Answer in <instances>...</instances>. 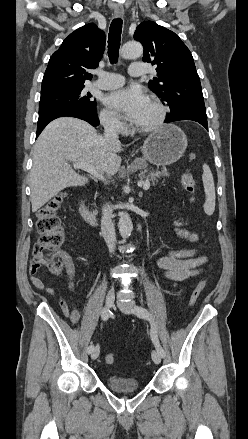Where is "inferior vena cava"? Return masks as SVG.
I'll return each instance as SVG.
<instances>
[{"instance_id": "inferior-vena-cava-1", "label": "inferior vena cava", "mask_w": 248, "mask_h": 439, "mask_svg": "<svg viewBox=\"0 0 248 439\" xmlns=\"http://www.w3.org/2000/svg\"><path fill=\"white\" fill-rule=\"evenodd\" d=\"M117 124L118 121L114 117L104 119V137L106 140L119 142ZM111 214V207L108 204L104 205L102 208L101 231L108 249L112 253L115 249L116 233Z\"/></svg>"}]
</instances>
